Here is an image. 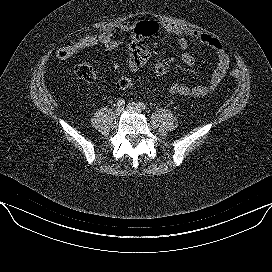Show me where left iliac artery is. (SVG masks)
Returning <instances> with one entry per match:
<instances>
[{
    "label": "left iliac artery",
    "instance_id": "left-iliac-artery-1",
    "mask_svg": "<svg viewBox=\"0 0 272 272\" xmlns=\"http://www.w3.org/2000/svg\"><path fill=\"white\" fill-rule=\"evenodd\" d=\"M140 107L145 110L147 107H146V104H144L143 102L139 103Z\"/></svg>",
    "mask_w": 272,
    "mask_h": 272
}]
</instances>
